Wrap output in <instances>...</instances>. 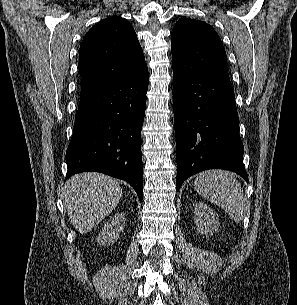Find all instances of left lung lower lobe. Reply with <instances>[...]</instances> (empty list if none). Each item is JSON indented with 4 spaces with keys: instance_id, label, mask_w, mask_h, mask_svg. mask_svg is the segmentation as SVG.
I'll list each match as a JSON object with an SVG mask.
<instances>
[{
    "instance_id": "0a47b994",
    "label": "left lung lower lobe",
    "mask_w": 297,
    "mask_h": 305,
    "mask_svg": "<svg viewBox=\"0 0 297 305\" xmlns=\"http://www.w3.org/2000/svg\"><path fill=\"white\" fill-rule=\"evenodd\" d=\"M177 190L207 169L233 171L248 182L234 91L227 74L194 75L173 62Z\"/></svg>"
}]
</instances>
